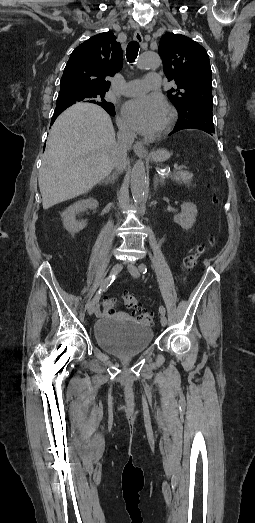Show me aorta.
Returning a JSON list of instances; mask_svg holds the SVG:
<instances>
[{"instance_id":"1","label":"aorta","mask_w":255,"mask_h":523,"mask_svg":"<svg viewBox=\"0 0 255 523\" xmlns=\"http://www.w3.org/2000/svg\"><path fill=\"white\" fill-rule=\"evenodd\" d=\"M160 64L161 59L157 53L145 52L139 58L137 66L140 69H152ZM130 184L133 199L137 202L142 201L147 188L146 169L142 160H138L133 166Z\"/></svg>"}]
</instances>
